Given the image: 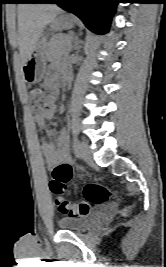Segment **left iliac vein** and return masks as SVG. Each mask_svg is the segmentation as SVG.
<instances>
[{"mask_svg": "<svg viewBox=\"0 0 166 267\" xmlns=\"http://www.w3.org/2000/svg\"><path fill=\"white\" fill-rule=\"evenodd\" d=\"M77 151L79 153V156L88 164H91L93 162L91 151L87 145V143L83 141L77 142Z\"/></svg>", "mask_w": 166, "mask_h": 267, "instance_id": "obj_1", "label": "left iliac vein"}]
</instances>
